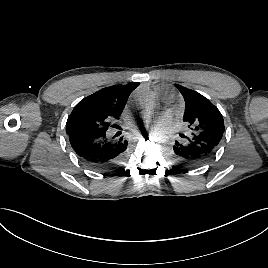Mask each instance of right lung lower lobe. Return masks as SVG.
<instances>
[{
	"label": "right lung lower lobe",
	"instance_id": "1",
	"mask_svg": "<svg viewBox=\"0 0 268 268\" xmlns=\"http://www.w3.org/2000/svg\"><path fill=\"white\" fill-rule=\"evenodd\" d=\"M68 135L78 158L96 171H112L125 157L128 141L123 137L109 138L106 132H70Z\"/></svg>",
	"mask_w": 268,
	"mask_h": 268
}]
</instances>
